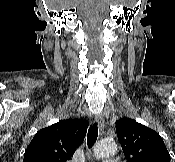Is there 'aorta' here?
<instances>
[{"instance_id":"762f6f07","label":"aorta","mask_w":175,"mask_h":162,"mask_svg":"<svg viewBox=\"0 0 175 162\" xmlns=\"http://www.w3.org/2000/svg\"><path fill=\"white\" fill-rule=\"evenodd\" d=\"M117 151V146L112 140H102L95 145L94 154L96 157H108L114 155Z\"/></svg>"}]
</instances>
